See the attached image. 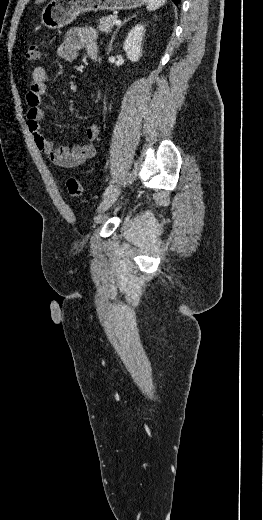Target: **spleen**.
<instances>
[{"label": "spleen", "mask_w": 263, "mask_h": 520, "mask_svg": "<svg viewBox=\"0 0 263 520\" xmlns=\"http://www.w3.org/2000/svg\"><path fill=\"white\" fill-rule=\"evenodd\" d=\"M166 0H147V9L149 11L157 10L159 7L164 5Z\"/></svg>", "instance_id": "spleen-1"}]
</instances>
